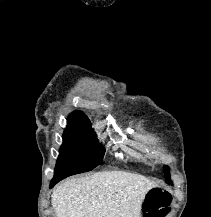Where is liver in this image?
<instances>
[{
    "mask_svg": "<svg viewBox=\"0 0 211 217\" xmlns=\"http://www.w3.org/2000/svg\"><path fill=\"white\" fill-rule=\"evenodd\" d=\"M156 186L139 174L98 172L62 183L51 202L56 217H140L146 194Z\"/></svg>",
    "mask_w": 211,
    "mask_h": 217,
    "instance_id": "obj_1",
    "label": "liver"
}]
</instances>
